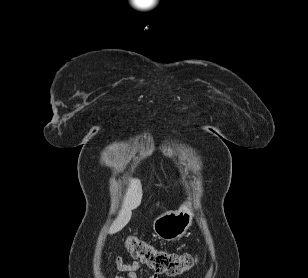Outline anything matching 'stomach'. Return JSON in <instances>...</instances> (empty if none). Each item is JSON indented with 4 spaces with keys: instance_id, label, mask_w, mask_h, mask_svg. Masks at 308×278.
Returning <instances> with one entry per match:
<instances>
[{
    "instance_id": "obj_1",
    "label": "stomach",
    "mask_w": 308,
    "mask_h": 278,
    "mask_svg": "<svg viewBox=\"0 0 308 278\" xmlns=\"http://www.w3.org/2000/svg\"><path fill=\"white\" fill-rule=\"evenodd\" d=\"M191 203H184L177 211H168L153 222L156 235L166 241H173L186 233L193 222Z\"/></svg>"
}]
</instances>
